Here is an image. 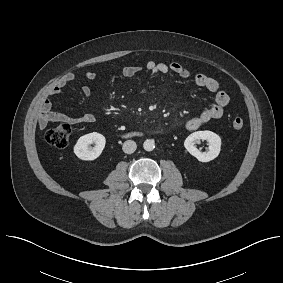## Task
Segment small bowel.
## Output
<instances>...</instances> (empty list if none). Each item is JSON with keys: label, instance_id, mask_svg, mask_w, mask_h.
I'll return each instance as SVG.
<instances>
[{"label": "small bowel", "instance_id": "1", "mask_svg": "<svg viewBox=\"0 0 283 283\" xmlns=\"http://www.w3.org/2000/svg\"><path fill=\"white\" fill-rule=\"evenodd\" d=\"M142 70L139 66L127 65L122 68V75L124 77H132ZM145 70L154 76L168 77L171 73L181 78L187 79L192 77L191 72L178 62L163 63L150 61L146 64ZM96 74L92 71H87L82 74L85 80H93ZM78 78L75 73L66 74L60 82L54 86L50 91V96L58 95L62 89L69 83ZM193 82L198 87H201L209 92L215 93L214 103L208 108L204 109L200 114L194 116L186 121L185 127L189 131L199 129L207 122L219 119L224 114V108L228 105L230 97L227 92L220 90L218 81L205 74H196L192 77ZM82 93L87 101L91 100L92 92L89 86L82 87ZM96 119V115L92 110H88L80 116H72L63 113L54 112L52 110V103L49 99L42 102L38 122L41 128L53 122H62L70 124L92 123Z\"/></svg>", "mask_w": 283, "mask_h": 283}]
</instances>
